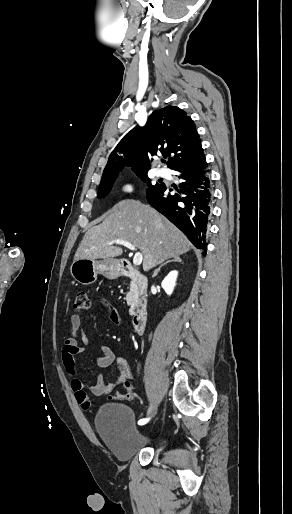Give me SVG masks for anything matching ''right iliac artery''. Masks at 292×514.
<instances>
[{
  "label": "right iliac artery",
  "mask_w": 292,
  "mask_h": 514,
  "mask_svg": "<svg viewBox=\"0 0 292 514\" xmlns=\"http://www.w3.org/2000/svg\"><path fill=\"white\" fill-rule=\"evenodd\" d=\"M148 421H149V418H143V419H140V420L138 421V424H139V425H144V424H146Z\"/></svg>",
  "instance_id": "82829eb1"
}]
</instances>
